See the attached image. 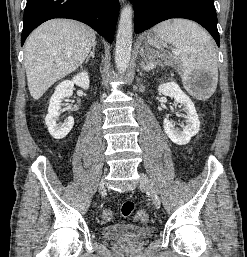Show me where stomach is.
<instances>
[{
	"label": "stomach",
	"instance_id": "1",
	"mask_svg": "<svg viewBox=\"0 0 247 257\" xmlns=\"http://www.w3.org/2000/svg\"><path fill=\"white\" fill-rule=\"evenodd\" d=\"M152 30L149 31L147 38H149L150 36H152ZM162 58L163 60L167 61V62H173L179 65V61L176 59L175 56L169 55L168 53L164 52V53H159L157 51H155L152 48H145L143 51V63L145 65H148L150 62L154 61L155 58Z\"/></svg>",
	"mask_w": 247,
	"mask_h": 257
}]
</instances>
